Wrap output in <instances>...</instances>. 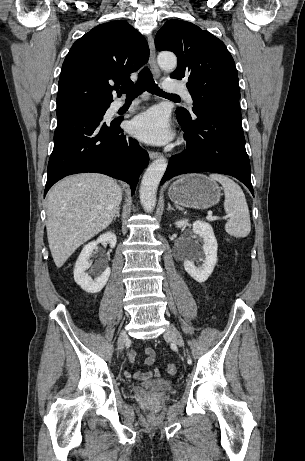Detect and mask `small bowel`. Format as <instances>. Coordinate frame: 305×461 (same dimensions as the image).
<instances>
[{"mask_svg":"<svg viewBox=\"0 0 305 461\" xmlns=\"http://www.w3.org/2000/svg\"><path fill=\"white\" fill-rule=\"evenodd\" d=\"M143 351L146 354V358L144 359L143 364L145 366L153 365L154 362H155V359H156V353H155L154 349L145 348ZM128 358H129V360L131 362H133L135 360V358H136V352L135 351L129 352ZM150 374H151L152 377H159L160 372H159L158 369L155 368L150 372ZM124 376L127 377V378L133 377L134 379H137V380H141L143 378V374L141 372H136V373L132 374L129 371H125Z\"/></svg>","mask_w":305,"mask_h":461,"instance_id":"c3829d8e","label":"small bowel"}]
</instances>
